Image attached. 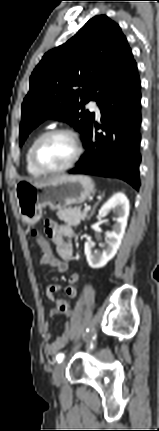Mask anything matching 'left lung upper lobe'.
I'll use <instances>...</instances> for the list:
<instances>
[{
	"instance_id": "5c2ea615",
	"label": "left lung upper lobe",
	"mask_w": 159,
	"mask_h": 431,
	"mask_svg": "<svg viewBox=\"0 0 159 431\" xmlns=\"http://www.w3.org/2000/svg\"><path fill=\"white\" fill-rule=\"evenodd\" d=\"M133 61L118 24L104 15L90 19L34 69L22 104L20 146L47 118L65 120L85 137L95 114L84 104L100 105Z\"/></svg>"
}]
</instances>
